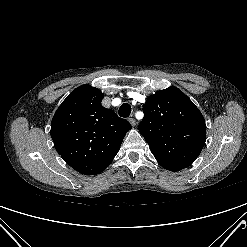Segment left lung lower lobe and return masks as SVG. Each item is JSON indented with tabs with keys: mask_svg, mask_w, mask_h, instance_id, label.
<instances>
[{
	"mask_svg": "<svg viewBox=\"0 0 247 247\" xmlns=\"http://www.w3.org/2000/svg\"><path fill=\"white\" fill-rule=\"evenodd\" d=\"M163 168L170 170V171H179L183 168L181 167H176V166H172V165H165V164H160Z\"/></svg>",
	"mask_w": 247,
	"mask_h": 247,
	"instance_id": "left-lung-lower-lobe-1",
	"label": "left lung lower lobe"
}]
</instances>
